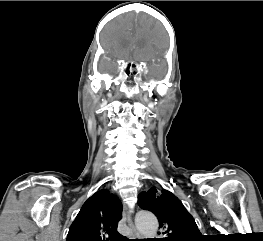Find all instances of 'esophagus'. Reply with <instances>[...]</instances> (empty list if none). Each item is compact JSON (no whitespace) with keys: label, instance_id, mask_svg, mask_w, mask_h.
Returning a JSON list of instances; mask_svg holds the SVG:
<instances>
[{"label":"esophagus","instance_id":"34e87169","mask_svg":"<svg viewBox=\"0 0 263 241\" xmlns=\"http://www.w3.org/2000/svg\"><path fill=\"white\" fill-rule=\"evenodd\" d=\"M126 220H127L128 225L130 226V228L132 230L133 239H135L137 241H140L141 235L136 230V228H135V226H134V224L132 222V218H131V215H130L129 211H127Z\"/></svg>","mask_w":263,"mask_h":241}]
</instances>
